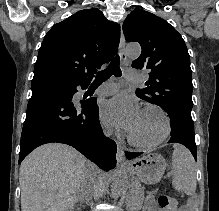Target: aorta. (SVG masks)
<instances>
[{
  "label": "aorta",
  "instance_id": "aorta-1",
  "mask_svg": "<svg viewBox=\"0 0 219 211\" xmlns=\"http://www.w3.org/2000/svg\"><path fill=\"white\" fill-rule=\"evenodd\" d=\"M126 53L129 57L136 58L141 53V48L138 44H131L126 47ZM129 186L128 176L124 172L116 174L111 184V196L114 199L119 198L126 192Z\"/></svg>",
  "mask_w": 219,
  "mask_h": 211
}]
</instances>
